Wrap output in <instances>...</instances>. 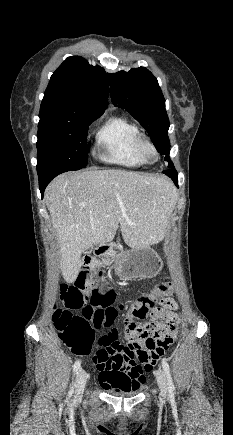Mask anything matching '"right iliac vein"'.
Wrapping results in <instances>:
<instances>
[{
    "label": "right iliac vein",
    "instance_id": "right-iliac-vein-1",
    "mask_svg": "<svg viewBox=\"0 0 233 435\" xmlns=\"http://www.w3.org/2000/svg\"><path fill=\"white\" fill-rule=\"evenodd\" d=\"M86 372L83 369H79L76 375L75 384V398L80 399L82 397L85 385H86Z\"/></svg>",
    "mask_w": 233,
    "mask_h": 435
}]
</instances>
